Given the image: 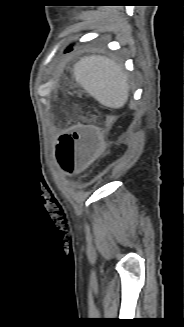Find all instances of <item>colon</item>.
Instances as JSON below:
<instances>
[{"label": "colon", "instance_id": "obj_1", "mask_svg": "<svg viewBox=\"0 0 184 327\" xmlns=\"http://www.w3.org/2000/svg\"><path fill=\"white\" fill-rule=\"evenodd\" d=\"M106 149V143L95 129L78 125L58 138L55 153L61 168L72 174L102 157Z\"/></svg>", "mask_w": 184, "mask_h": 327}]
</instances>
